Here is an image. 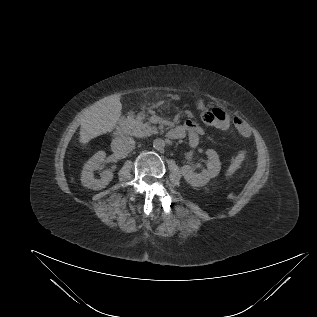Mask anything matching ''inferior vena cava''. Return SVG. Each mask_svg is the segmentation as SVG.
<instances>
[{
  "label": "inferior vena cava",
  "instance_id": "obj_1",
  "mask_svg": "<svg viewBox=\"0 0 317 317\" xmlns=\"http://www.w3.org/2000/svg\"><path fill=\"white\" fill-rule=\"evenodd\" d=\"M111 147L113 152L126 155L135 148V141L129 136L117 137L112 141Z\"/></svg>",
  "mask_w": 317,
  "mask_h": 317
}]
</instances>
